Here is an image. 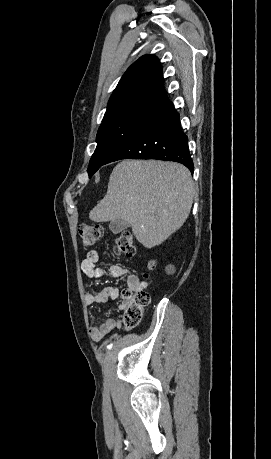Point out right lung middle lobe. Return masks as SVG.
I'll list each match as a JSON object with an SVG mask.
<instances>
[{"instance_id":"dd1d6c3e","label":"right lung middle lobe","mask_w":271,"mask_h":459,"mask_svg":"<svg viewBox=\"0 0 271 459\" xmlns=\"http://www.w3.org/2000/svg\"><path fill=\"white\" fill-rule=\"evenodd\" d=\"M157 113L147 110H130L104 116L97 133V147L90 159L88 173L91 177L139 128Z\"/></svg>"}]
</instances>
